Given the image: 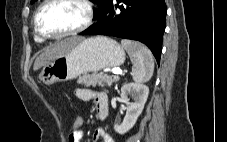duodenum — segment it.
Wrapping results in <instances>:
<instances>
[{"label":"duodenum","instance_id":"410a0bca","mask_svg":"<svg viewBox=\"0 0 227 142\" xmlns=\"http://www.w3.org/2000/svg\"><path fill=\"white\" fill-rule=\"evenodd\" d=\"M108 115V103L104 102L98 109V117L104 120Z\"/></svg>","mask_w":227,"mask_h":142}]
</instances>
